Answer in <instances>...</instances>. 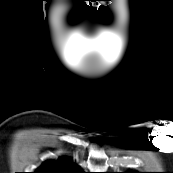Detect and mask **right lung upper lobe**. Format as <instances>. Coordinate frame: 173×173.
<instances>
[{"instance_id": "cb5924a9", "label": "right lung upper lobe", "mask_w": 173, "mask_h": 173, "mask_svg": "<svg viewBox=\"0 0 173 173\" xmlns=\"http://www.w3.org/2000/svg\"><path fill=\"white\" fill-rule=\"evenodd\" d=\"M34 173H83L79 168L66 159L46 161Z\"/></svg>"}]
</instances>
